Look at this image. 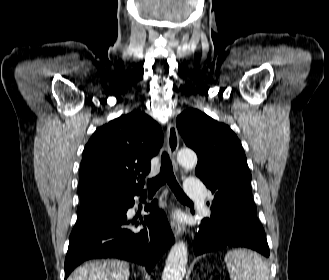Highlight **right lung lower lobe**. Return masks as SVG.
<instances>
[{
  "mask_svg": "<svg viewBox=\"0 0 329 280\" xmlns=\"http://www.w3.org/2000/svg\"><path fill=\"white\" fill-rule=\"evenodd\" d=\"M140 190L101 196L80 210L71 232L65 259V279L83 261L93 258H119L141 264L150 273L163 252L174 243V237L157 201L146 205L144 229L140 223L127 220L126 212L134 205L133 197Z\"/></svg>",
  "mask_w": 329,
  "mask_h": 280,
  "instance_id": "1",
  "label": "right lung lower lobe"
}]
</instances>
